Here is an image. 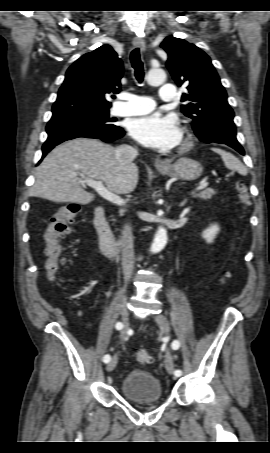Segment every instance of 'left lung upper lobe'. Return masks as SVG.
Returning <instances> with one entry per match:
<instances>
[{
	"label": "left lung upper lobe",
	"instance_id": "left-lung-upper-lobe-1",
	"mask_svg": "<svg viewBox=\"0 0 270 453\" xmlns=\"http://www.w3.org/2000/svg\"><path fill=\"white\" fill-rule=\"evenodd\" d=\"M161 47L167 52V68L182 94V112L193 122V130L206 143H237L234 112L210 57L195 45L167 37Z\"/></svg>",
	"mask_w": 270,
	"mask_h": 453
}]
</instances>
